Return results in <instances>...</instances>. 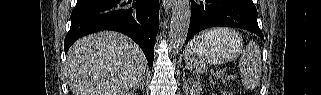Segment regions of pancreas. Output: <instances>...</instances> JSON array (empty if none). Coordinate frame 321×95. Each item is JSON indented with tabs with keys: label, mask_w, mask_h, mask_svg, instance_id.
<instances>
[{
	"label": "pancreas",
	"mask_w": 321,
	"mask_h": 95,
	"mask_svg": "<svg viewBox=\"0 0 321 95\" xmlns=\"http://www.w3.org/2000/svg\"><path fill=\"white\" fill-rule=\"evenodd\" d=\"M192 88H193V89L200 90V85L197 84V83H195V82H193V83H192Z\"/></svg>",
	"instance_id": "pancreas-1"
}]
</instances>
